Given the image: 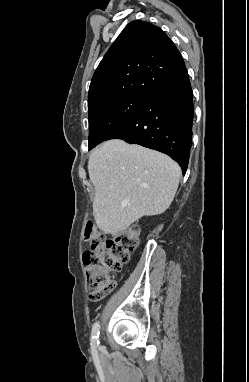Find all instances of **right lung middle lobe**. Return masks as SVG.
Wrapping results in <instances>:
<instances>
[{"label":"right lung middle lobe","instance_id":"obj_1","mask_svg":"<svg viewBox=\"0 0 249 382\" xmlns=\"http://www.w3.org/2000/svg\"><path fill=\"white\" fill-rule=\"evenodd\" d=\"M148 97L131 94L89 109V150L126 125L144 106Z\"/></svg>","mask_w":249,"mask_h":382}]
</instances>
